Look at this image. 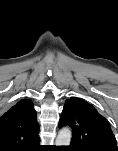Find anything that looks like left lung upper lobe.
Masks as SVG:
<instances>
[{
    "mask_svg": "<svg viewBox=\"0 0 118 151\" xmlns=\"http://www.w3.org/2000/svg\"><path fill=\"white\" fill-rule=\"evenodd\" d=\"M72 128L71 146L77 151H118L110 124L87 101L72 97L67 99L59 127Z\"/></svg>",
    "mask_w": 118,
    "mask_h": 151,
    "instance_id": "left-lung-upper-lobe-1",
    "label": "left lung upper lobe"
}]
</instances>
